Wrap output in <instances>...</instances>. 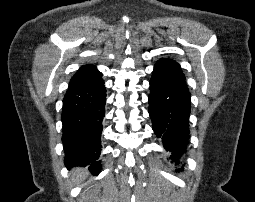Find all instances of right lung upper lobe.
<instances>
[{
  "instance_id": "cb5924a9",
  "label": "right lung upper lobe",
  "mask_w": 255,
  "mask_h": 202,
  "mask_svg": "<svg viewBox=\"0 0 255 202\" xmlns=\"http://www.w3.org/2000/svg\"><path fill=\"white\" fill-rule=\"evenodd\" d=\"M99 78H101V73L96 69L95 66L84 65L72 77L69 87L90 83Z\"/></svg>"
}]
</instances>
